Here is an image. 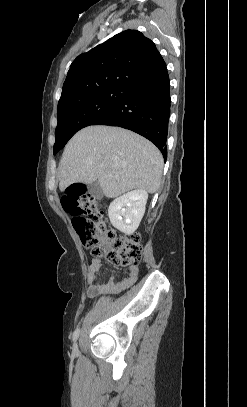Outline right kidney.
<instances>
[{"instance_id": "obj_1", "label": "right kidney", "mask_w": 247, "mask_h": 407, "mask_svg": "<svg viewBox=\"0 0 247 407\" xmlns=\"http://www.w3.org/2000/svg\"><path fill=\"white\" fill-rule=\"evenodd\" d=\"M148 199L146 190L137 189L116 198L108 208L112 225L125 234H132L138 228L145 213Z\"/></svg>"}]
</instances>
